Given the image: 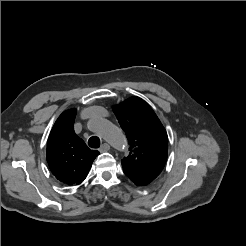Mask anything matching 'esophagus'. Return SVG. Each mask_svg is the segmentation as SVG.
Wrapping results in <instances>:
<instances>
[{
    "instance_id": "1",
    "label": "esophagus",
    "mask_w": 246,
    "mask_h": 246,
    "mask_svg": "<svg viewBox=\"0 0 246 246\" xmlns=\"http://www.w3.org/2000/svg\"><path fill=\"white\" fill-rule=\"evenodd\" d=\"M110 149V146H109V144H107V143H103L102 145H101V147H100V151L101 152H106V151H108Z\"/></svg>"
}]
</instances>
